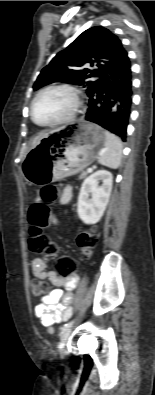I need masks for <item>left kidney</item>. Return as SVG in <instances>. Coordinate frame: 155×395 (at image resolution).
<instances>
[{"label": "left kidney", "instance_id": "1", "mask_svg": "<svg viewBox=\"0 0 155 395\" xmlns=\"http://www.w3.org/2000/svg\"><path fill=\"white\" fill-rule=\"evenodd\" d=\"M102 181V186H99ZM113 176L107 170H98L82 183L78 196L77 213L85 224L97 223L104 214L112 190ZM91 194V199H89Z\"/></svg>", "mask_w": 155, "mask_h": 395}]
</instances>
